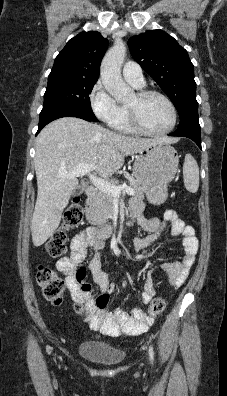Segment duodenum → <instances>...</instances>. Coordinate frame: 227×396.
<instances>
[{
  "mask_svg": "<svg viewBox=\"0 0 227 396\" xmlns=\"http://www.w3.org/2000/svg\"><path fill=\"white\" fill-rule=\"evenodd\" d=\"M86 196H87V201L90 203L92 202L95 197H96V189L94 187H89L86 190ZM127 228V226H106L103 227L97 231L94 230V233L92 235V239L94 242L99 243L102 242L103 240L111 237L114 234H118L121 233L123 231H125V229Z\"/></svg>",
  "mask_w": 227,
  "mask_h": 396,
  "instance_id": "1",
  "label": "duodenum"
}]
</instances>
